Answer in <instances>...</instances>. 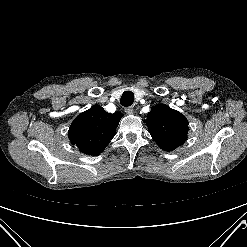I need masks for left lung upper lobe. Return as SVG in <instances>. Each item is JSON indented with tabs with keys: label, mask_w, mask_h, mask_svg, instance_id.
I'll return each mask as SVG.
<instances>
[{
	"label": "left lung upper lobe",
	"mask_w": 247,
	"mask_h": 247,
	"mask_svg": "<svg viewBox=\"0 0 247 247\" xmlns=\"http://www.w3.org/2000/svg\"><path fill=\"white\" fill-rule=\"evenodd\" d=\"M145 122L153 140L165 151L174 150L187 139V119L183 114L167 105L154 106L148 113Z\"/></svg>",
	"instance_id": "obj_1"
}]
</instances>
